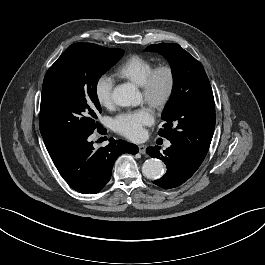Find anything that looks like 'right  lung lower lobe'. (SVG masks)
<instances>
[{
  "label": "right lung lower lobe",
  "mask_w": 265,
  "mask_h": 265,
  "mask_svg": "<svg viewBox=\"0 0 265 265\" xmlns=\"http://www.w3.org/2000/svg\"><path fill=\"white\" fill-rule=\"evenodd\" d=\"M88 137L89 135H84L48 152L59 173L72 189L80 193L96 194L110 180L117 157L123 153L136 154L138 147L111 138L107 146L95 150Z\"/></svg>",
  "instance_id": "right-lung-lower-lobe-1"
}]
</instances>
